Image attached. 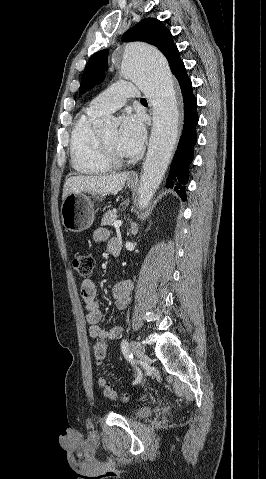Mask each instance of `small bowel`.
I'll list each match as a JSON object with an SVG mask.
<instances>
[{
	"label": "small bowel",
	"mask_w": 266,
	"mask_h": 479,
	"mask_svg": "<svg viewBox=\"0 0 266 479\" xmlns=\"http://www.w3.org/2000/svg\"><path fill=\"white\" fill-rule=\"evenodd\" d=\"M95 238L98 241H103L108 238V233L105 229H99L95 232ZM116 240L112 238L109 241ZM81 295L86 304L87 315L86 320L88 323V333L93 339L114 340L122 332L121 326H112L109 328H103L100 325L102 319V309L100 301L97 297V290L94 282L91 279H85L81 283ZM132 283L130 281H121L113 288V296L116 300V307L120 310H124L131 302Z\"/></svg>",
	"instance_id": "obj_1"
}]
</instances>
